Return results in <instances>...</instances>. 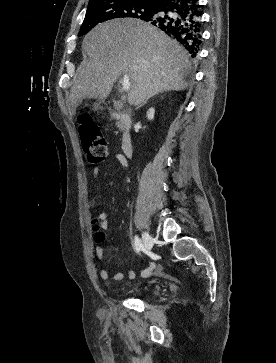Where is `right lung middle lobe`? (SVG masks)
Here are the masks:
<instances>
[{"instance_id":"right-lung-middle-lobe-1","label":"right lung middle lobe","mask_w":276,"mask_h":363,"mask_svg":"<svg viewBox=\"0 0 276 363\" xmlns=\"http://www.w3.org/2000/svg\"><path fill=\"white\" fill-rule=\"evenodd\" d=\"M157 13V7L133 0H101L88 5L79 36L88 33L97 24L115 19L132 17L146 20Z\"/></svg>"}]
</instances>
